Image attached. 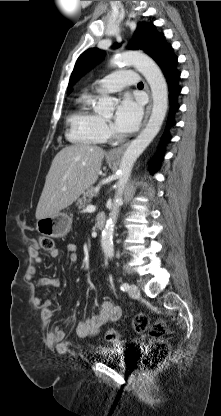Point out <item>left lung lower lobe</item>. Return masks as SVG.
I'll use <instances>...</instances> for the list:
<instances>
[{
    "label": "left lung lower lobe",
    "instance_id": "0a47b994",
    "mask_svg": "<svg viewBox=\"0 0 221 416\" xmlns=\"http://www.w3.org/2000/svg\"><path fill=\"white\" fill-rule=\"evenodd\" d=\"M149 56H151L158 63L166 77L170 101V111L167 119V127L164 131V134L162 135L161 142L158 147V152L150 163V170L153 174L156 169H158V166L163 159L164 144L171 139L168 133L169 128L175 125L174 113L179 108V105L177 104V96L179 95L181 89L177 84L180 78V73L175 68L177 64V58L173 55L171 46L165 43L164 35L160 37L150 52Z\"/></svg>",
    "mask_w": 221,
    "mask_h": 416
}]
</instances>
